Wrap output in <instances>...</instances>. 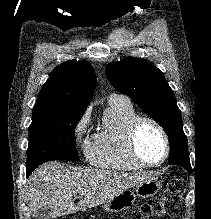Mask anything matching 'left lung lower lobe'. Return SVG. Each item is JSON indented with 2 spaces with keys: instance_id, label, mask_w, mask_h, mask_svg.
<instances>
[{
  "instance_id": "0a47b994",
  "label": "left lung lower lobe",
  "mask_w": 211,
  "mask_h": 219,
  "mask_svg": "<svg viewBox=\"0 0 211 219\" xmlns=\"http://www.w3.org/2000/svg\"><path fill=\"white\" fill-rule=\"evenodd\" d=\"M168 162L179 165V166H182L185 169H187L188 171L191 170V165H190L189 158H179L177 156H170Z\"/></svg>"
}]
</instances>
